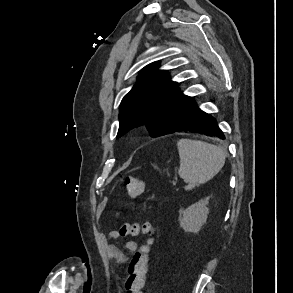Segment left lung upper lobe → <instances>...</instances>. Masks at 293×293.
<instances>
[{"instance_id":"5c2ea615","label":"left lung upper lobe","mask_w":293,"mask_h":293,"mask_svg":"<svg viewBox=\"0 0 293 293\" xmlns=\"http://www.w3.org/2000/svg\"><path fill=\"white\" fill-rule=\"evenodd\" d=\"M156 66L157 63L146 66L123 98L117 138L141 125H146L152 137L171 133L185 109L194 102L179 91L178 83L169 79L167 71L155 70Z\"/></svg>"}]
</instances>
